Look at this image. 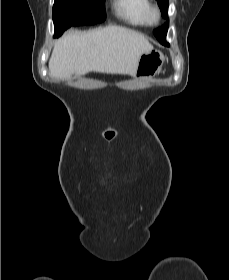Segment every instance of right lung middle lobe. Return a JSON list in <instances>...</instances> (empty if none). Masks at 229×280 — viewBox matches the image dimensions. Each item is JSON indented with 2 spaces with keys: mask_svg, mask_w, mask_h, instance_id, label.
Instances as JSON below:
<instances>
[{
  "mask_svg": "<svg viewBox=\"0 0 229 280\" xmlns=\"http://www.w3.org/2000/svg\"><path fill=\"white\" fill-rule=\"evenodd\" d=\"M105 0H55L53 22L56 36L70 26L90 25L106 18Z\"/></svg>",
  "mask_w": 229,
  "mask_h": 280,
  "instance_id": "dd1d6c3e",
  "label": "right lung middle lobe"
}]
</instances>
